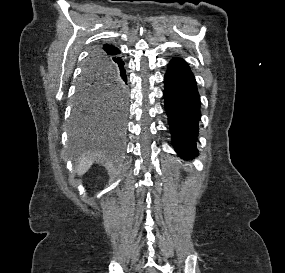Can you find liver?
<instances>
[{
  "mask_svg": "<svg viewBox=\"0 0 285 273\" xmlns=\"http://www.w3.org/2000/svg\"><path fill=\"white\" fill-rule=\"evenodd\" d=\"M93 162L94 158H92L91 156H82L81 158H79L77 166V174L79 176L85 174L90 169Z\"/></svg>",
  "mask_w": 285,
  "mask_h": 273,
  "instance_id": "liver-1",
  "label": "liver"
}]
</instances>
